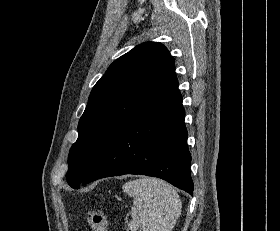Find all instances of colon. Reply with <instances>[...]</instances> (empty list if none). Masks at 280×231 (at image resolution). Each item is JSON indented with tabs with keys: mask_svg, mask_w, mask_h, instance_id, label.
Returning a JSON list of instances; mask_svg holds the SVG:
<instances>
[{
	"mask_svg": "<svg viewBox=\"0 0 280 231\" xmlns=\"http://www.w3.org/2000/svg\"><path fill=\"white\" fill-rule=\"evenodd\" d=\"M87 218L91 227V231H108L107 221L101 209L90 210Z\"/></svg>",
	"mask_w": 280,
	"mask_h": 231,
	"instance_id": "colon-1",
	"label": "colon"
}]
</instances>
